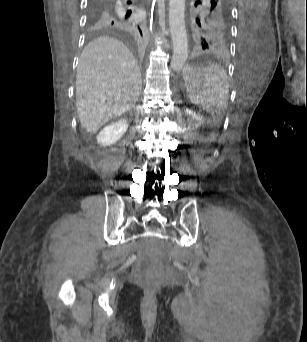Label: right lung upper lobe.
<instances>
[{
    "instance_id": "obj_1",
    "label": "right lung upper lobe",
    "mask_w": 307,
    "mask_h": 342,
    "mask_svg": "<svg viewBox=\"0 0 307 342\" xmlns=\"http://www.w3.org/2000/svg\"><path fill=\"white\" fill-rule=\"evenodd\" d=\"M88 27L91 33L141 40L146 18L141 0H90Z\"/></svg>"
}]
</instances>
